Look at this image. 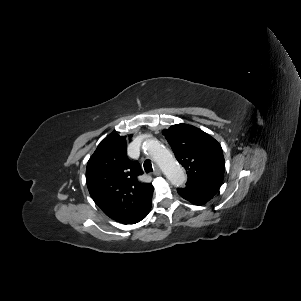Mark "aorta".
I'll list each match as a JSON object with an SVG mask.
<instances>
[{
	"label": "aorta",
	"instance_id": "obj_1",
	"mask_svg": "<svg viewBox=\"0 0 301 301\" xmlns=\"http://www.w3.org/2000/svg\"><path fill=\"white\" fill-rule=\"evenodd\" d=\"M143 149L161 167L166 178L172 185L180 187L185 184L186 175L183 168L159 141L148 139L143 143Z\"/></svg>",
	"mask_w": 301,
	"mask_h": 301
}]
</instances>
